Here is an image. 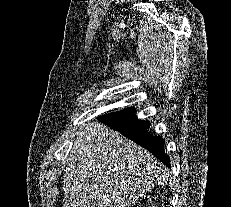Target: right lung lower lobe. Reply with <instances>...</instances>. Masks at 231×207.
I'll list each match as a JSON object with an SVG mask.
<instances>
[{
	"label": "right lung lower lobe",
	"mask_w": 231,
	"mask_h": 207,
	"mask_svg": "<svg viewBox=\"0 0 231 207\" xmlns=\"http://www.w3.org/2000/svg\"><path fill=\"white\" fill-rule=\"evenodd\" d=\"M134 108H125L119 112L109 113L98 117L110 128L119 131L122 135L134 141L138 145L149 150L163 164L170 167V158L164 152V140L161 136H154L148 132V121L139 120Z\"/></svg>",
	"instance_id": "obj_1"
}]
</instances>
